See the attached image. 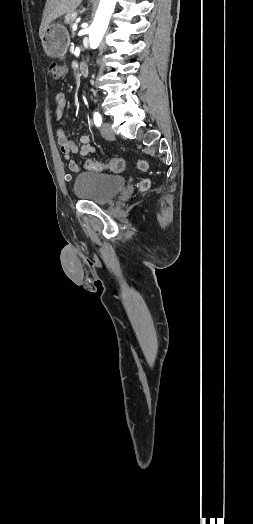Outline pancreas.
Here are the masks:
<instances>
[{
  "mask_svg": "<svg viewBox=\"0 0 253 524\" xmlns=\"http://www.w3.org/2000/svg\"><path fill=\"white\" fill-rule=\"evenodd\" d=\"M76 16L77 14L73 11V12H70V13H67V15L65 16V23L69 24L70 26L73 25L75 19H76Z\"/></svg>",
  "mask_w": 253,
  "mask_h": 524,
  "instance_id": "1",
  "label": "pancreas"
}]
</instances>
